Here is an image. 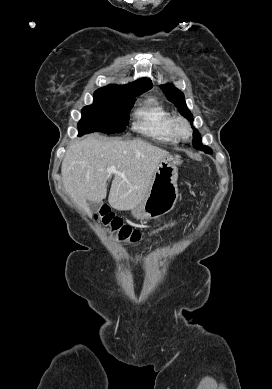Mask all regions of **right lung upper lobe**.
I'll use <instances>...</instances> for the list:
<instances>
[{"label": "right lung upper lobe", "instance_id": "1", "mask_svg": "<svg viewBox=\"0 0 272 389\" xmlns=\"http://www.w3.org/2000/svg\"><path fill=\"white\" fill-rule=\"evenodd\" d=\"M151 81L147 78L136 80L127 85H108L97 91L116 92L124 95H138L148 91L151 88Z\"/></svg>", "mask_w": 272, "mask_h": 389}]
</instances>
